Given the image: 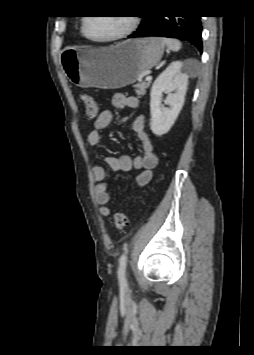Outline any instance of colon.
I'll list each match as a JSON object with an SVG mask.
<instances>
[{"label": "colon", "instance_id": "colon-1", "mask_svg": "<svg viewBox=\"0 0 254 355\" xmlns=\"http://www.w3.org/2000/svg\"><path fill=\"white\" fill-rule=\"evenodd\" d=\"M80 101L88 119H94L98 114V104L96 100L88 94L82 93ZM113 224L117 230L124 229L128 224V216L124 212L115 213L113 216Z\"/></svg>", "mask_w": 254, "mask_h": 355}]
</instances>
